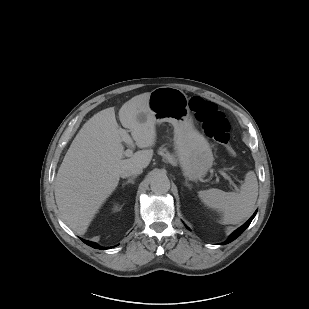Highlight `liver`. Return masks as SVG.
Masks as SVG:
<instances>
[{"label": "liver", "instance_id": "1", "mask_svg": "<svg viewBox=\"0 0 309 309\" xmlns=\"http://www.w3.org/2000/svg\"><path fill=\"white\" fill-rule=\"evenodd\" d=\"M149 97V92L133 97L118 113L122 126L143 149L130 158L124 159V129L119 128L113 107L90 118L70 145L58 170L54 191L62 219L77 234H85L95 214L118 186L124 170L150 164L156 122L148 106ZM140 116L144 119L140 120Z\"/></svg>", "mask_w": 309, "mask_h": 309}]
</instances>
